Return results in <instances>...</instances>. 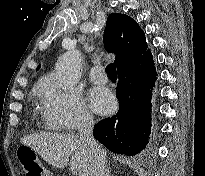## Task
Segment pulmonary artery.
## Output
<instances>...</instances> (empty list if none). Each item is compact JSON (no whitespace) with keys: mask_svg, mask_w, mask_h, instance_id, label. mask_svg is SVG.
<instances>
[{"mask_svg":"<svg viewBox=\"0 0 205 176\" xmlns=\"http://www.w3.org/2000/svg\"><path fill=\"white\" fill-rule=\"evenodd\" d=\"M89 77L92 82L96 84H106L108 82V78L106 75L102 73L101 66H95L89 71Z\"/></svg>","mask_w":205,"mask_h":176,"instance_id":"e3ab8cb5","label":"pulmonary artery"}]
</instances>
